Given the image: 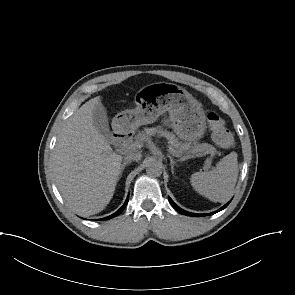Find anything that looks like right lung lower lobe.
<instances>
[{
  "instance_id": "98d812e1",
  "label": "right lung lower lobe",
  "mask_w": 295,
  "mask_h": 295,
  "mask_svg": "<svg viewBox=\"0 0 295 295\" xmlns=\"http://www.w3.org/2000/svg\"><path fill=\"white\" fill-rule=\"evenodd\" d=\"M127 203H128V198H127L126 202L124 203V205L117 212H115L114 214H112V215H110V216H108L106 218H102L101 220H108V219H111V218L119 215L124 210V208L126 207Z\"/></svg>"
}]
</instances>
